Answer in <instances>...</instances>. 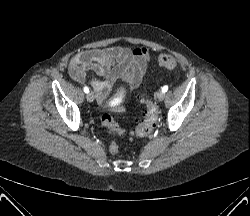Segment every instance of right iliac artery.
I'll return each mask as SVG.
<instances>
[{"instance_id":"1","label":"right iliac artery","mask_w":250,"mask_h":216,"mask_svg":"<svg viewBox=\"0 0 250 216\" xmlns=\"http://www.w3.org/2000/svg\"><path fill=\"white\" fill-rule=\"evenodd\" d=\"M83 90H84L85 93H89L88 87L85 86V87L83 88Z\"/></svg>"}]
</instances>
